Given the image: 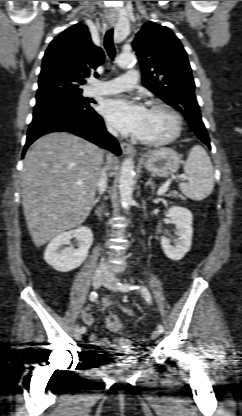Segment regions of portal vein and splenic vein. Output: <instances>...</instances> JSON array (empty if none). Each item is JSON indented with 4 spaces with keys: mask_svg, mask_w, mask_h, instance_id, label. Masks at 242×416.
Instances as JSON below:
<instances>
[{
    "mask_svg": "<svg viewBox=\"0 0 242 416\" xmlns=\"http://www.w3.org/2000/svg\"><path fill=\"white\" fill-rule=\"evenodd\" d=\"M170 182H171V179H169L159 190H158V192H157V195H159V196H161V195H164L166 192H167V190H168V186H169V184H170ZM78 185H81V183H78Z\"/></svg>",
    "mask_w": 242,
    "mask_h": 416,
    "instance_id": "18ae733b",
    "label": "portal vein and splenic vein"
}]
</instances>
